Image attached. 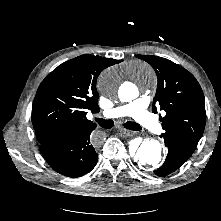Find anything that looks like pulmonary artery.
Listing matches in <instances>:
<instances>
[{"instance_id": "1", "label": "pulmonary artery", "mask_w": 221, "mask_h": 221, "mask_svg": "<svg viewBox=\"0 0 221 221\" xmlns=\"http://www.w3.org/2000/svg\"><path fill=\"white\" fill-rule=\"evenodd\" d=\"M149 102L150 98L144 96L122 106L105 110L102 116L106 119L131 116L151 132L159 133L162 131V125L147 111Z\"/></svg>"}]
</instances>
